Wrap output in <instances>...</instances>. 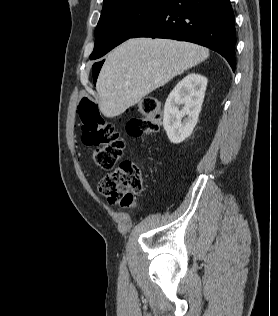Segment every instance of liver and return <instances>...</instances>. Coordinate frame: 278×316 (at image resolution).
I'll return each instance as SVG.
<instances>
[{"label":"liver","instance_id":"obj_1","mask_svg":"<svg viewBox=\"0 0 278 316\" xmlns=\"http://www.w3.org/2000/svg\"><path fill=\"white\" fill-rule=\"evenodd\" d=\"M209 57L205 47L170 39H129L111 51L96 89L104 116L115 117Z\"/></svg>","mask_w":278,"mask_h":316}]
</instances>
